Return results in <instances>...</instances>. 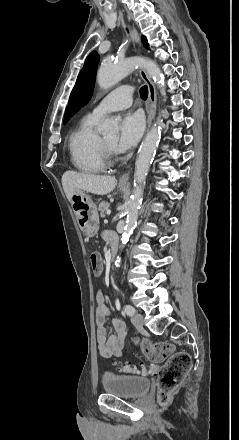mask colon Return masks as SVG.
I'll list each match as a JSON object with an SVG mask.
<instances>
[{"label":"colon","mask_w":239,"mask_h":440,"mask_svg":"<svg viewBox=\"0 0 239 440\" xmlns=\"http://www.w3.org/2000/svg\"><path fill=\"white\" fill-rule=\"evenodd\" d=\"M90 262L94 274L99 275L102 272L99 255L93 253ZM137 343L153 366L149 370H140L137 367L127 365L122 370L134 374L158 372V396L161 402H166L170 398L171 392L180 385L189 372L192 365L191 356L183 351L174 352L173 346L165 342L152 343L148 340H139ZM164 360H166L164 365L158 367V363Z\"/></svg>","instance_id":"obj_1"}]
</instances>
